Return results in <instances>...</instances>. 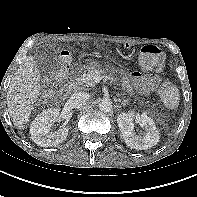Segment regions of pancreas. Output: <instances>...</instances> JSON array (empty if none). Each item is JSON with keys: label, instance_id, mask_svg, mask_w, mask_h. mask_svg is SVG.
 <instances>
[{"label": "pancreas", "instance_id": "1", "mask_svg": "<svg viewBox=\"0 0 197 197\" xmlns=\"http://www.w3.org/2000/svg\"><path fill=\"white\" fill-rule=\"evenodd\" d=\"M95 76L105 78L106 74L101 69H88L82 75L75 78V84L84 87H93L95 86V81H94Z\"/></svg>", "mask_w": 197, "mask_h": 197}]
</instances>
